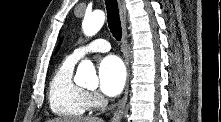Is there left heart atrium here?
Wrapping results in <instances>:
<instances>
[{
    "mask_svg": "<svg viewBox=\"0 0 221 122\" xmlns=\"http://www.w3.org/2000/svg\"><path fill=\"white\" fill-rule=\"evenodd\" d=\"M98 76L101 92L106 96H116L125 85L126 69L119 57L110 55L101 60Z\"/></svg>",
    "mask_w": 221,
    "mask_h": 122,
    "instance_id": "1",
    "label": "left heart atrium"
}]
</instances>
